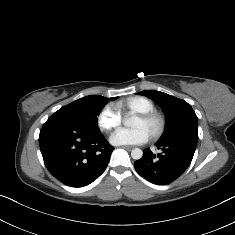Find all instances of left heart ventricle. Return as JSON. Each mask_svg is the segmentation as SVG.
I'll return each mask as SVG.
<instances>
[{
	"instance_id": "obj_1",
	"label": "left heart ventricle",
	"mask_w": 235,
	"mask_h": 235,
	"mask_svg": "<svg viewBox=\"0 0 235 235\" xmlns=\"http://www.w3.org/2000/svg\"><path fill=\"white\" fill-rule=\"evenodd\" d=\"M133 128H144L148 131H150V127H148L139 117L135 119V121L132 124Z\"/></svg>"
}]
</instances>
